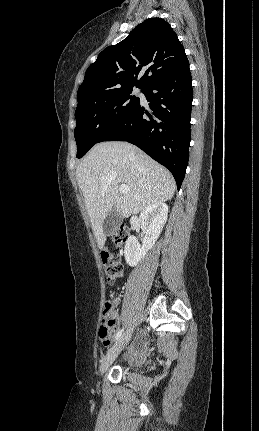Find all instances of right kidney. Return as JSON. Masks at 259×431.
Here are the masks:
<instances>
[{
	"mask_svg": "<svg viewBox=\"0 0 259 431\" xmlns=\"http://www.w3.org/2000/svg\"><path fill=\"white\" fill-rule=\"evenodd\" d=\"M168 217V206L158 202L147 206L140 214L141 229L145 234L142 245L135 236H129L124 249L126 263L134 267L147 254L158 239Z\"/></svg>",
	"mask_w": 259,
	"mask_h": 431,
	"instance_id": "1",
	"label": "right kidney"
}]
</instances>
